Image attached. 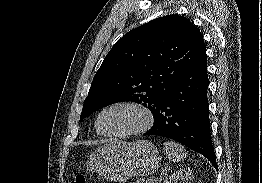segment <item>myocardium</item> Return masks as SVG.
<instances>
[{
    "mask_svg": "<svg viewBox=\"0 0 262 183\" xmlns=\"http://www.w3.org/2000/svg\"><path fill=\"white\" fill-rule=\"evenodd\" d=\"M118 107H131V108L139 110L144 116V123L140 127L124 132V133L111 134V133H107L103 131L101 128V118L103 114L111 109L118 108ZM153 123H154V115L151 109L147 105H145L144 103L138 102V101L123 100V101L109 104L108 106L104 107L100 111L96 119V129L101 135L105 137H108L111 139H122V138H127L130 136H135V135H139V134H143L147 132L153 126Z\"/></svg>",
    "mask_w": 262,
    "mask_h": 183,
    "instance_id": "1",
    "label": "myocardium"
}]
</instances>
